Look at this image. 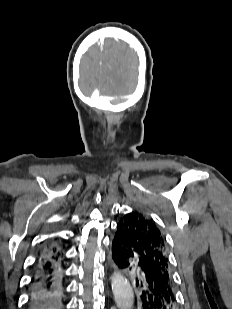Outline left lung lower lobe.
<instances>
[{"label":"left lung lower lobe","mask_w":232,"mask_h":309,"mask_svg":"<svg viewBox=\"0 0 232 309\" xmlns=\"http://www.w3.org/2000/svg\"><path fill=\"white\" fill-rule=\"evenodd\" d=\"M112 259L120 270H136L139 308L176 309V298L169 278L160 269L136 256L133 246L119 224L112 242Z\"/></svg>","instance_id":"0a47b994"}]
</instances>
